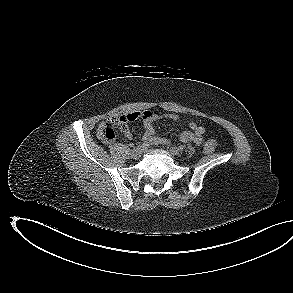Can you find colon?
I'll return each mask as SVG.
<instances>
[{
    "label": "colon",
    "mask_w": 293,
    "mask_h": 293,
    "mask_svg": "<svg viewBox=\"0 0 293 293\" xmlns=\"http://www.w3.org/2000/svg\"><path fill=\"white\" fill-rule=\"evenodd\" d=\"M127 123L128 121L124 117L109 118L103 122V128L98 132V136L103 142H109L114 138L117 129L124 130L127 128ZM204 150L206 153H211L214 147L207 145L204 147Z\"/></svg>",
    "instance_id": "1"
}]
</instances>
